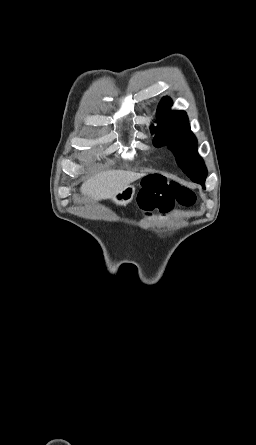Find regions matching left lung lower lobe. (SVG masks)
Here are the masks:
<instances>
[{"label":"left lung lower lobe","instance_id":"obj_1","mask_svg":"<svg viewBox=\"0 0 256 445\" xmlns=\"http://www.w3.org/2000/svg\"><path fill=\"white\" fill-rule=\"evenodd\" d=\"M201 184V183H200ZM202 186H203V188L205 187V183L204 184H201Z\"/></svg>","mask_w":256,"mask_h":445}]
</instances>
